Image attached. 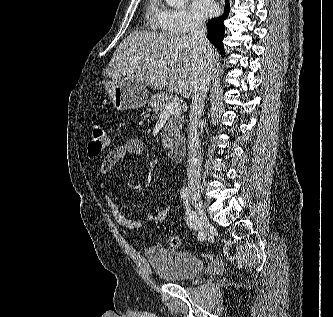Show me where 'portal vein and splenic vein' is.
Wrapping results in <instances>:
<instances>
[{"label":"portal vein and splenic vein","mask_w":333,"mask_h":317,"mask_svg":"<svg viewBox=\"0 0 333 317\" xmlns=\"http://www.w3.org/2000/svg\"><path fill=\"white\" fill-rule=\"evenodd\" d=\"M181 108L179 102H171L165 105L162 115H171L177 113Z\"/></svg>","instance_id":"18ae733b"}]
</instances>
